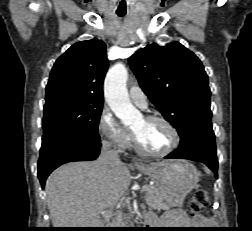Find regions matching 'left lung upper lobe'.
I'll return each mask as SVG.
<instances>
[{"mask_svg": "<svg viewBox=\"0 0 252 231\" xmlns=\"http://www.w3.org/2000/svg\"><path fill=\"white\" fill-rule=\"evenodd\" d=\"M129 63L142 90L180 136L195 126H212L208 76L193 52L179 42L153 43Z\"/></svg>", "mask_w": 252, "mask_h": 231, "instance_id": "1", "label": "left lung upper lobe"}]
</instances>
